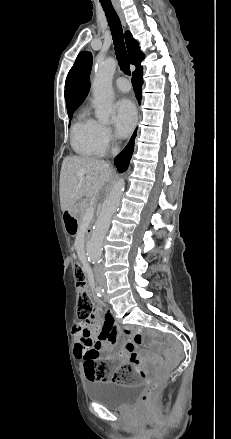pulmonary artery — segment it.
<instances>
[{
	"label": "pulmonary artery",
	"instance_id": "1",
	"mask_svg": "<svg viewBox=\"0 0 231 439\" xmlns=\"http://www.w3.org/2000/svg\"><path fill=\"white\" fill-rule=\"evenodd\" d=\"M115 85L122 92H127L130 89V85H129L127 79H125L123 77L117 78L115 80Z\"/></svg>",
	"mask_w": 231,
	"mask_h": 439
}]
</instances>
